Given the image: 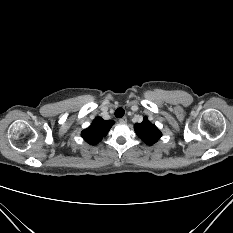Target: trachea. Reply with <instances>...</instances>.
I'll return each mask as SVG.
<instances>
[{
  "label": "trachea",
  "instance_id": "obj_1",
  "mask_svg": "<svg viewBox=\"0 0 233 233\" xmlns=\"http://www.w3.org/2000/svg\"><path fill=\"white\" fill-rule=\"evenodd\" d=\"M124 114H125V111H124L123 108H118V109H116V111H115V116H116L117 118L123 117Z\"/></svg>",
  "mask_w": 233,
  "mask_h": 233
}]
</instances>
